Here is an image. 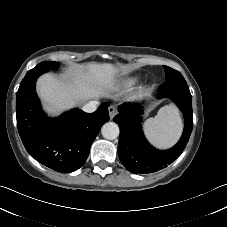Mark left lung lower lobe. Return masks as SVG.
Listing matches in <instances>:
<instances>
[{"mask_svg": "<svg viewBox=\"0 0 227 227\" xmlns=\"http://www.w3.org/2000/svg\"><path fill=\"white\" fill-rule=\"evenodd\" d=\"M162 97L171 98L183 112L185 126L179 142L169 150H157L144 137L139 104L118 107L114 121L119 125L118 156L125 168L135 174L153 173L176 160L185 149L193 128L192 96L186 82H165L159 88Z\"/></svg>", "mask_w": 227, "mask_h": 227, "instance_id": "0a47b994", "label": "left lung lower lobe"}]
</instances>
